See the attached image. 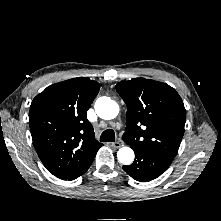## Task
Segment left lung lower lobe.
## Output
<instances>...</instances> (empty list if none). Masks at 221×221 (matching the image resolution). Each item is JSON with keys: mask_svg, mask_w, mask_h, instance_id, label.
Wrapping results in <instances>:
<instances>
[{"mask_svg": "<svg viewBox=\"0 0 221 221\" xmlns=\"http://www.w3.org/2000/svg\"><path fill=\"white\" fill-rule=\"evenodd\" d=\"M135 161L123 169L132 178L140 182H147L160 176L172 163L173 159L155 153L147 152L139 147H132Z\"/></svg>", "mask_w": 221, "mask_h": 221, "instance_id": "left-lung-lower-lobe-1", "label": "left lung lower lobe"}]
</instances>
